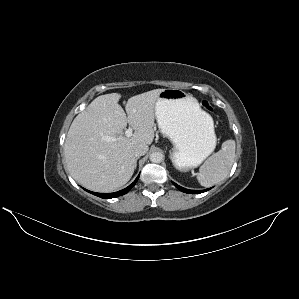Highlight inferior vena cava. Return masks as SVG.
Instances as JSON below:
<instances>
[{"label":"inferior vena cava","mask_w":299,"mask_h":299,"mask_svg":"<svg viewBox=\"0 0 299 299\" xmlns=\"http://www.w3.org/2000/svg\"><path fill=\"white\" fill-rule=\"evenodd\" d=\"M148 146L145 144H139L134 148V155L136 157L143 156L147 153Z\"/></svg>","instance_id":"1"}]
</instances>
